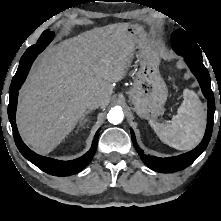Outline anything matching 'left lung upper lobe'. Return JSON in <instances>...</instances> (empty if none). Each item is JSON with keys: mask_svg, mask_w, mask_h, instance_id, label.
Segmentation results:
<instances>
[{"mask_svg": "<svg viewBox=\"0 0 221 221\" xmlns=\"http://www.w3.org/2000/svg\"><path fill=\"white\" fill-rule=\"evenodd\" d=\"M172 47L176 53L191 58L193 60L202 62V53L195 40L182 29H178L172 34Z\"/></svg>", "mask_w": 221, "mask_h": 221, "instance_id": "5c2ea615", "label": "left lung upper lobe"}]
</instances>
